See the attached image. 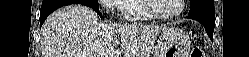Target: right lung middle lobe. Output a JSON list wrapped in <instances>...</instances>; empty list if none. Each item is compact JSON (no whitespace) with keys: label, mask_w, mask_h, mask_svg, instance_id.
Instances as JSON below:
<instances>
[{"label":"right lung middle lobe","mask_w":249,"mask_h":57,"mask_svg":"<svg viewBox=\"0 0 249 57\" xmlns=\"http://www.w3.org/2000/svg\"><path fill=\"white\" fill-rule=\"evenodd\" d=\"M83 4L88 7H91L92 9L99 10L98 0H83Z\"/></svg>","instance_id":"right-lung-middle-lobe-1"}]
</instances>
